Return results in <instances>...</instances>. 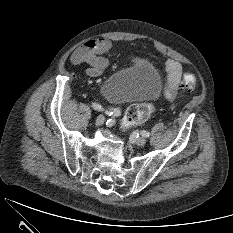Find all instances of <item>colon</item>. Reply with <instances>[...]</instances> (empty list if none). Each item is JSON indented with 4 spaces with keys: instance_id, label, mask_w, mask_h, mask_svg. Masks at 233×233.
<instances>
[{
    "instance_id": "1",
    "label": "colon",
    "mask_w": 233,
    "mask_h": 233,
    "mask_svg": "<svg viewBox=\"0 0 233 233\" xmlns=\"http://www.w3.org/2000/svg\"><path fill=\"white\" fill-rule=\"evenodd\" d=\"M196 80L192 74H186L183 77L182 87L186 90H193L195 88ZM154 112V106L151 103H140L131 105L124 118V125L134 126L145 122Z\"/></svg>"
}]
</instances>
